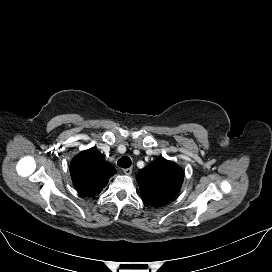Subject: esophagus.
<instances>
[{
    "label": "esophagus",
    "instance_id": "34e87169",
    "mask_svg": "<svg viewBox=\"0 0 272 272\" xmlns=\"http://www.w3.org/2000/svg\"><path fill=\"white\" fill-rule=\"evenodd\" d=\"M123 171L126 175H130L132 173V168H125Z\"/></svg>",
    "mask_w": 272,
    "mask_h": 272
}]
</instances>
